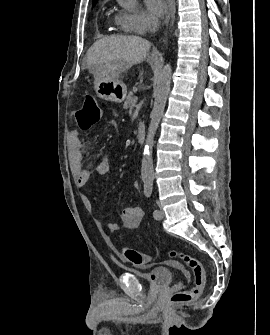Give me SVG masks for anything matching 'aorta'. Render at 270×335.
<instances>
[{
	"label": "aorta",
	"instance_id": "1",
	"mask_svg": "<svg viewBox=\"0 0 270 335\" xmlns=\"http://www.w3.org/2000/svg\"><path fill=\"white\" fill-rule=\"evenodd\" d=\"M172 78V70L170 64H166L163 70L157 74L155 82V90L153 94L154 106L150 114V124L148 128L147 138L145 140L142 164H141V175L143 181H152L154 179L153 169V158L152 150L154 146V136L159 126V122L164 114L165 104L167 102V96L170 92V84Z\"/></svg>",
	"mask_w": 270,
	"mask_h": 335
}]
</instances>
